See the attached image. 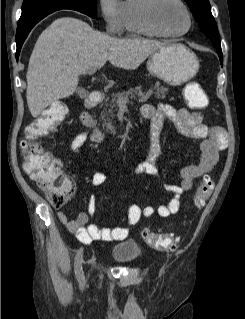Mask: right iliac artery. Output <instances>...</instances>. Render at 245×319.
<instances>
[{
	"mask_svg": "<svg viewBox=\"0 0 245 319\" xmlns=\"http://www.w3.org/2000/svg\"><path fill=\"white\" fill-rule=\"evenodd\" d=\"M82 254H83V249L80 248L77 251V255L75 258V272H76V276H77V279L80 282V284L84 283V276H83V271H82Z\"/></svg>",
	"mask_w": 245,
	"mask_h": 319,
	"instance_id": "obj_1",
	"label": "right iliac artery"
}]
</instances>
